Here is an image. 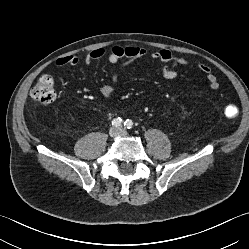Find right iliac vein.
I'll list each match as a JSON object with an SVG mask.
<instances>
[{"label":"right iliac vein","mask_w":249,"mask_h":249,"mask_svg":"<svg viewBox=\"0 0 249 249\" xmlns=\"http://www.w3.org/2000/svg\"><path fill=\"white\" fill-rule=\"evenodd\" d=\"M119 131L117 128H111L109 131L110 136L115 137L116 135H118Z\"/></svg>","instance_id":"1"}]
</instances>
